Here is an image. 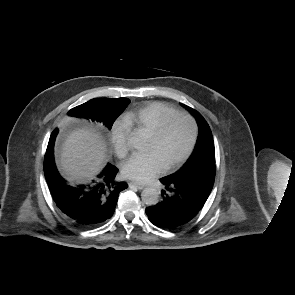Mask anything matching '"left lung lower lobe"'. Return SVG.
I'll return each instance as SVG.
<instances>
[{"label":"left lung lower lobe","mask_w":295,"mask_h":295,"mask_svg":"<svg viewBox=\"0 0 295 295\" xmlns=\"http://www.w3.org/2000/svg\"><path fill=\"white\" fill-rule=\"evenodd\" d=\"M215 172L205 171L185 177L172 175L160 179L165 186L163 200L146 208L152 224L176 229L189 222L204 206L214 184Z\"/></svg>","instance_id":"left-lung-lower-lobe-1"}]
</instances>
